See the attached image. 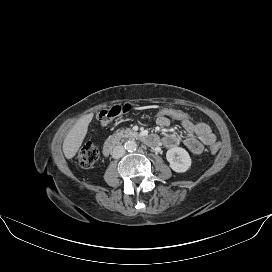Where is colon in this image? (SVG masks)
<instances>
[{
  "mask_svg": "<svg viewBox=\"0 0 272 272\" xmlns=\"http://www.w3.org/2000/svg\"><path fill=\"white\" fill-rule=\"evenodd\" d=\"M131 106L128 104H117L110 107H107L101 110L98 114V119L101 123L106 124L111 121L113 118L129 112ZM157 117H164L170 119H174L177 121H185L190 120V115L180 109L177 108H162L156 112ZM220 145L218 143H214L210 146V152L215 154L219 151ZM99 157V151L95 145L91 142L85 143L79 150L77 154V161L79 165L83 168L91 167Z\"/></svg>",
  "mask_w": 272,
  "mask_h": 272,
  "instance_id": "obj_1",
  "label": "colon"
}]
</instances>
